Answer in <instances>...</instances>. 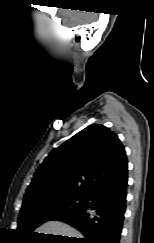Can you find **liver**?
Wrapping results in <instances>:
<instances>
[{
    "label": "liver",
    "instance_id": "1",
    "mask_svg": "<svg viewBox=\"0 0 154 243\" xmlns=\"http://www.w3.org/2000/svg\"><path fill=\"white\" fill-rule=\"evenodd\" d=\"M38 233L44 234H53V235H60V236H68V237H76L82 238L80 232L76 229L72 228L68 224L59 221H49L39 228L36 229Z\"/></svg>",
    "mask_w": 154,
    "mask_h": 243
}]
</instances>
